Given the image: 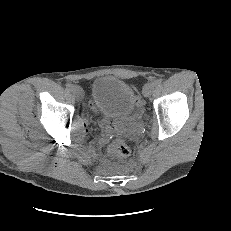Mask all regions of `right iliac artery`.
Returning a JSON list of instances; mask_svg holds the SVG:
<instances>
[{
	"mask_svg": "<svg viewBox=\"0 0 231 231\" xmlns=\"http://www.w3.org/2000/svg\"><path fill=\"white\" fill-rule=\"evenodd\" d=\"M72 88H73V85H72V84H70V83H67V84H66V89H67V90H72Z\"/></svg>",
	"mask_w": 231,
	"mask_h": 231,
	"instance_id": "right-iliac-artery-1",
	"label": "right iliac artery"
}]
</instances>
